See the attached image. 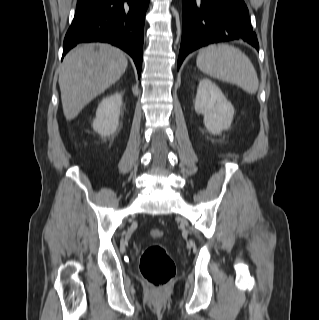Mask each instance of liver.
<instances>
[{"instance_id": "obj_1", "label": "liver", "mask_w": 319, "mask_h": 320, "mask_svg": "<svg viewBox=\"0 0 319 320\" xmlns=\"http://www.w3.org/2000/svg\"><path fill=\"white\" fill-rule=\"evenodd\" d=\"M128 61L124 53L109 44H82L64 58L59 74L63 113L74 119L96 96L124 74Z\"/></svg>"}]
</instances>
